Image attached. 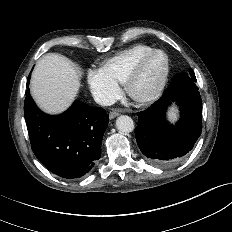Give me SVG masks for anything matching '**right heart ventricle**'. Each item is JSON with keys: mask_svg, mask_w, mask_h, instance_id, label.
<instances>
[{"mask_svg": "<svg viewBox=\"0 0 232 232\" xmlns=\"http://www.w3.org/2000/svg\"><path fill=\"white\" fill-rule=\"evenodd\" d=\"M152 49L145 44L129 47L104 61L101 70L116 83L123 84L135 62Z\"/></svg>", "mask_w": 232, "mask_h": 232, "instance_id": "1", "label": "right heart ventricle"}]
</instances>
